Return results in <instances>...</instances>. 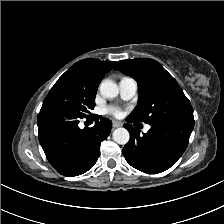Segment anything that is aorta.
Masks as SVG:
<instances>
[{"instance_id":"1","label":"aorta","mask_w":224,"mask_h":224,"mask_svg":"<svg viewBox=\"0 0 224 224\" xmlns=\"http://www.w3.org/2000/svg\"><path fill=\"white\" fill-rule=\"evenodd\" d=\"M100 93L105 98H115L119 93V88L117 84L111 80H104L100 84ZM113 140L120 144L125 145L130 139V134L125 128H117L113 131Z\"/></svg>"}]
</instances>
